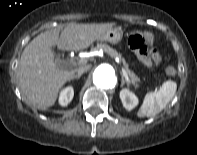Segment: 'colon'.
Listing matches in <instances>:
<instances>
[{"mask_svg":"<svg viewBox=\"0 0 197 155\" xmlns=\"http://www.w3.org/2000/svg\"><path fill=\"white\" fill-rule=\"evenodd\" d=\"M150 34H142L140 32H133L128 39L129 47L140 54H145L150 52L154 55L155 60H157L156 52L154 48L148 46V42H150ZM168 75H174L175 69L173 67H168L166 70Z\"/></svg>","mask_w":197,"mask_h":155,"instance_id":"5ec220e1","label":"colon"}]
</instances>
